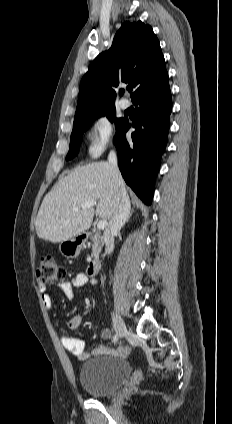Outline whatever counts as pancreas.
<instances>
[{
  "label": "pancreas",
  "mask_w": 232,
  "mask_h": 424,
  "mask_svg": "<svg viewBox=\"0 0 232 424\" xmlns=\"http://www.w3.org/2000/svg\"><path fill=\"white\" fill-rule=\"evenodd\" d=\"M92 241H93V245H92V256H95L98 252V250L101 248L102 245V237L98 234V233H94V235L92 236Z\"/></svg>",
  "instance_id": "cf45deb5"
}]
</instances>
